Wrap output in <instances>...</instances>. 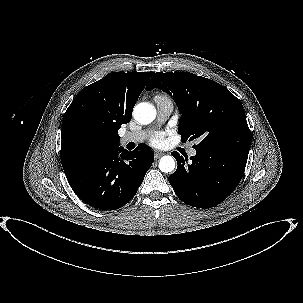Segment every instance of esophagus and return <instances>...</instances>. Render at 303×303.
Wrapping results in <instances>:
<instances>
[{
  "label": "esophagus",
  "mask_w": 303,
  "mask_h": 303,
  "mask_svg": "<svg viewBox=\"0 0 303 303\" xmlns=\"http://www.w3.org/2000/svg\"><path fill=\"white\" fill-rule=\"evenodd\" d=\"M161 156H163V153H162V152H160V151H155V152H154V157H155V159H158V158H160Z\"/></svg>",
  "instance_id": "1"
}]
</instances>
